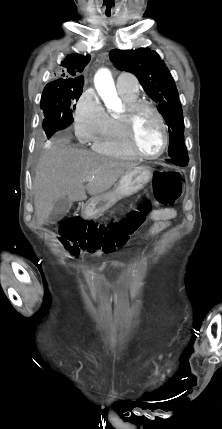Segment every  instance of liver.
Wrapping results in <instances>:
<instances>
[{"label": "liver", "instance_id": "obj_1", "mask_svg": "<svg viewBox=\"0 0 222 429\" xmlns=\"http://www.w3.org/2000/svg\"><path fill=\"white\" fill-rule=\"evenodd\" d=\"M135 167L133 162L63 144L48 147L38 162L33 181L37 223L42 225L48 219L59 199L82 201L87 198L86 191L91 196L101 195ZM84 182H88L85 187Z\"/></svg>", "mask_w": 222, "mask_h": 429}]
</instances>
